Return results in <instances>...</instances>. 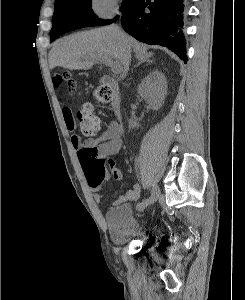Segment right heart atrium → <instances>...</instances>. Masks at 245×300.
Here are the masks:
<instances>
[{
	"mask_svg": "<svg viewBox=\"0 0 245 300\" xmlns=\"http://www.w3.org/2000/svg\"><path fill=\"white\" fill-rule=\"evenodd\" d=\"M89 9L100 19H110L118 13L119 3L118 0H90Z\"/></svg>",
	"mask_w": 245,
	"mask_h": 300,
	"instance_id": "1",
	"label": "right heart atrium"
}]
</instances>
